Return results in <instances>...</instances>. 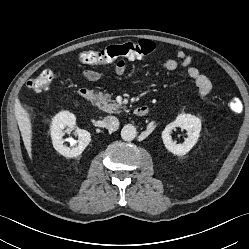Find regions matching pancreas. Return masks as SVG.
Here are the masks:
<instances>
[{"label":"pancreas","mask_w":249,"mask_h":249,"mask_svg":"<svg viewBox=\"0 0 249 249\" xmlns=\"http://www.w3.org/2000/svg\"><path fill=\"white\" fill-rule=\"evenodd\" d=\"M98 101L96 105L99 109L107 112V113H119L120 109H122V105L116 103L114 100L111 99V95L107 93H99L97 95Z\"/></svg>","instance_id":"obj_1"}]
</instances>
